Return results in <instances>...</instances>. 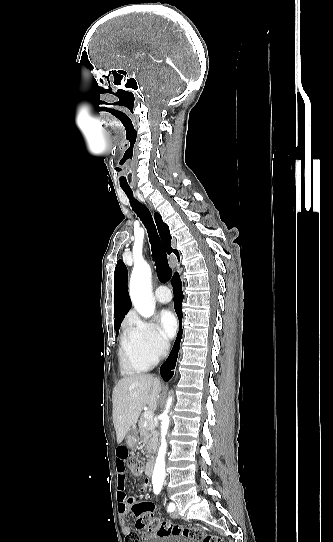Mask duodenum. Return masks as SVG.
I'll list each match as a JSON object with an SVG mask.
<instances>
[{"mask_svg": "<svg viewBox=\"0 0 333 542\" xmlns=\"http://www.w3.org/2000/svg\"><path fill=\"white\" fill-rule=\"evenodd\" d=\"M153 470H154V463L152 460H149L147 463H146V467H145V473L148 477H151L153 475Z\"/></svg>", "mask_w": 333, "mask_h": 542, "instance_id": "410a0bca", "label": "duodenum"}]
</instances>
